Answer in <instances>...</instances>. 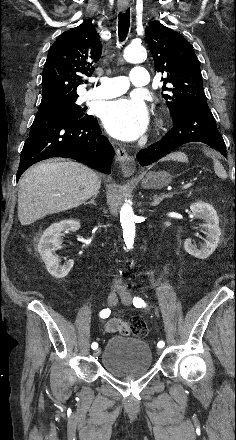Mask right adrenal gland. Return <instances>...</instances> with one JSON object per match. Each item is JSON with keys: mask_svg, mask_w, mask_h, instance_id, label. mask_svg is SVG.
Masks as SVG:
<instances>
[{"mask_svg": "<svg viewBox=\"0 0 236 440\" xmlns=\"http://www.w3.org/2000/svg\"><path fill=\"white\" fill-rule=\"evenodd\" d=\"M97 195H98V193H96V194L93 196V198H92L90 201L86 202L85 204H93V205L96 206L95 198L97 197Z\"/></svg>", "mask_w": 236, "mask_h": 440, "instance_id": "1", "label": "right adrenal gland"}]
</instances>
